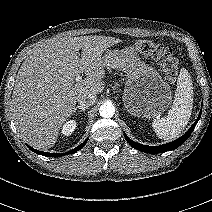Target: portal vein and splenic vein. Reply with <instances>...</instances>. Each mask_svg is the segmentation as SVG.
<instances>
[{"mask_svg":"<svg viewBox=\"0 0 212 212\" xmlns=\"http://www.w3.org/2000/svg\"><path fill=\"white\" fill-rule=\"evenodd\" d=\"M82 79V76L81 75H78L77 77H76V81H80Z\"/></svg>","mask_w":212,"mask_h":212,"instance_id":"18ae733b","label":"portal vein and splenic vein"}]
</instances>
